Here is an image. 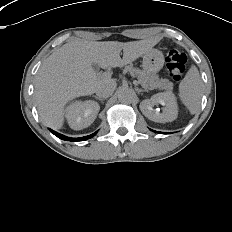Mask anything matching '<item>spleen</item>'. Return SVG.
<instances>
[{"label": "spleen", "mask_w": 232, "mask_h": 232, "mask_svg": "<svg viewBox=\"0 0 232 232\" xmlns=\"http://www.w3.org/2000/svg\"><path fill=\"white\" fill-rule=\"evenodd\" d=\"M202 89L203 81L197 67L193 65L179 84V97L191 114L200 109Z\"/></svg>", "instance_id": "1"}]
</instances>
